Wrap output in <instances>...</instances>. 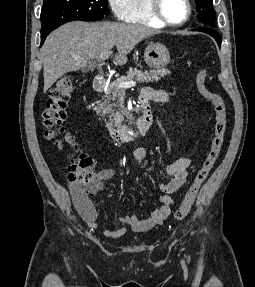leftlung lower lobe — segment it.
<instances>
[{
    "label": "left lung lower lobe",
    "instance_id": "1",
    "mask_svg": "<svg viewBox=\"0 0 255 287\" xmlns=\"http://www.w3.org/2000/svg\"><path fill=\"white\" fill-rule=\"evenodd\" d=\"M194 31H201V32H205L209 35H211L212 37L215 38V40L217 41V44L219 46H221V38L219 36V34L213 30V29H210V28H197V29H193Z\"/></svg>",
    "mask_w": 255,
    "mask_h": 287
}]
</instances>
